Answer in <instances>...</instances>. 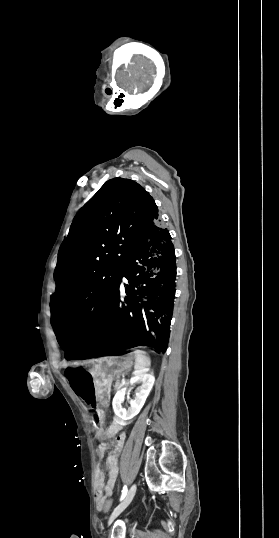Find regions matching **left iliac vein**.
Wrapping results in <instances>:
<instances>
[{
    "mask_svg": "<svg viewBox=\"0 0 279 538\" xmlns=\"http://www.w3.org/2000/svg\"><path fill=\"white\" fill-rule=\"evenodd\" d=\"M136 489H137V486L136 484H133L128 493L126 494V496L124 497V499L122 500V502L114 509V511L112 512L110 518H109V521H108V524H111L114 519L119 515L121 514L125 508L130 504V502L132 501L135 493H136Z\"/></svg>",
    "mask_w": 279,
    "mask_h": 538,
    "instance_id": "obj_1",
    "label": "left iliac vein"
}]
</instances>
